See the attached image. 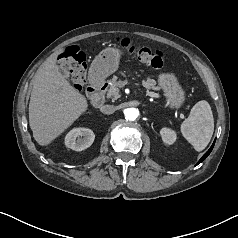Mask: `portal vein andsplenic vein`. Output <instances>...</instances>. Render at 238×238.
I'll use <instances>...</instances> for the list:
<instances>
[{"mask_svg": "<svg viewBox=\"0 0 238 238\" xmlns=\"http://www.w3.org/2000/svg\"><path fill=\"white\" fill-rule=\"evenodd\" d=\"M146 96H150V97H158V94L154 93V92H150V91H146Z\"/></svg>", "mask_w": 238, "mask_h": 238, "instance_id": "obj_1", "label": "portal vein and splenic vein"}]
</instances>
